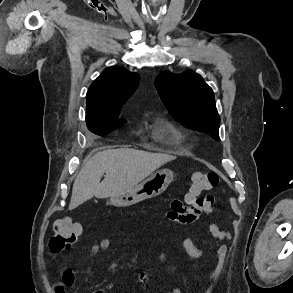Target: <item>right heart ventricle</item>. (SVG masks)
<instances>
[{"mask_svg":"<svg viewBox=\"0 0 293 293\" xmlns=\"http://www.w3.org/2000/svg\"><path fill=\"white\" fill-rule=\"evenodd\" d=\"M155 135L167 144H180L184 140L183 132L168 121H162L156 125Z\"/></svg>","mask_w":293,"mask_h":293,"instance_id":"right-heart-ventricle-1","label":"right heart ventricle"}]
</instances>
